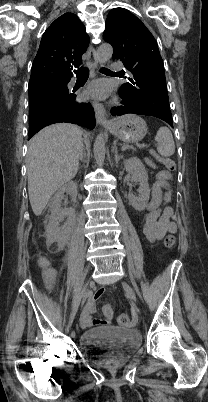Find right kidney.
Returning a JSON list of instances; mask_svg holds the SVG:
<instances>
[{"label":"right kidney","instance_id":"1","mask_svg":"<svg viewBox=\"0 0 208 402\" xmlns=\"http://www.w3.org/2000/svg\"><path fill=\"white\" fill-rule=\"evenodd\" d=\"M77 190L78 188L75 182H67V184L59 188L58 192L53 196L50 202L51 214L48 216V224L45 232V238L49 244L58 242V246H61V248L66 246L71 236V228H68V226L59 228V226L60 222H63L66 216H75V210L74 208H65V210H62L61 204L62 200L65 198L64 194H70L72 200H75Z\"/></svg>","mask_w":208,"mask_h":402}]
</instances>
